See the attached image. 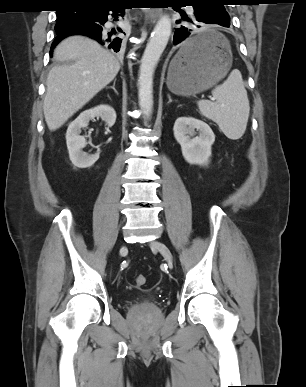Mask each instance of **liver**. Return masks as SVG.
<instances>
[{"mask_svg": "<svg viewBox=\"0 0 306 387\" xmlns=\"http://www.w3.org/2000/svg\"><path fill=\"white\" fill-rule=\"evenodd\" d=\"M54 58L62 64L54 66L47 77L43 104L49 130L60 128L116 77L120 63L96 41L74 35L61 41Z\"/></svg>", "mask_w": 306, "mask_h": 387, "instance_id": "1", "label": "liver"}]
</instances>
